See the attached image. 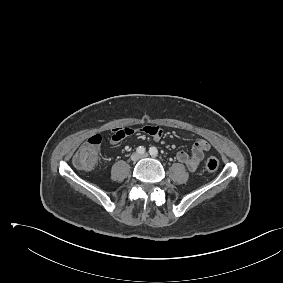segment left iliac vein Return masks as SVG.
I'll list each match as a JSON object with an SVG mask.
<instances>
[{"label": "left iliac vein", "instance_id": "obj_1", "mask_svg": "<svg viewBox=\"0 0 283 283\" xmlns=\"http://www.w3.org/2000/svg\"><path fill=\"white\" fill-rule=\"evenodd\" d=\"M148 157V153H143L142 155H140V158H146Z\"/></svg>", "mask_w": 283, "mask_h": 283}]
</instances>
